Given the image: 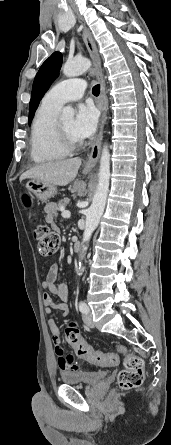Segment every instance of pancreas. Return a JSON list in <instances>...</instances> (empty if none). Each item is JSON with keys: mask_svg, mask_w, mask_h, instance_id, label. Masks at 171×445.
<instances>
[{"mask_svg": "<svg viewBox=\"0 0 171 445\" xmlns=\"http://www.w3.org/2000/svg\"><path fill=\"white\" fill-rule=\"evenodd\" d=\"M69 203L68 198L61 199L57 205V210H60L62 207H65Z\"/></svg>", "mask_w": 171, "mask_h": 445, "instance_id": "pancreas-1", "label": "pancreas"}]
</instances>
